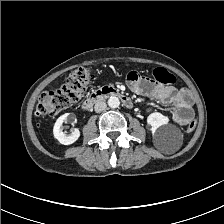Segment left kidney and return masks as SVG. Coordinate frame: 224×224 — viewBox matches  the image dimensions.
<instances>
[{"label": "left kidney", "mask_w": 224, "mask_h": 224, "mask_svg": "<svg viewBox=\"0 0 224 224\" xmlns=\"http://www.w3.org/2000/svg\"><path fill=\"white\" fill-rule=\"evenodd\" d=\"M169 118L159 112H154L147 117V123L151 126L152 134H156L159 138L164 139L157 133V129L162 125L168 124Z\"/></svg>", "instance_id": "obj_1"}]
</instances>
